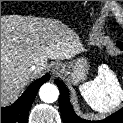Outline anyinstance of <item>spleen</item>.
I'll list each match as a JSON object with an SVG mask.
<instances>
[{
  "label": "spleen",
  "mask_w": 123,
  "mask_h": 123,
  "mask_svg": "<svg viewBox=\"0 0 123 123\" xmlns=\"http://www.w3.org/2000/svg\"><path fill=\"white\" fill-rule=\"evenodd\" d=\"M79 89L87 104L100 113L112 111L123 101L120 83L107 65L99 66L95 79L82 84Z\"/></svg>",
  "instance_id": "3e777b00"
}]
</instances>
